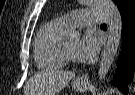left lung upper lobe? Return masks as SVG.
I'll use <instances>...</instances> for the list:
<instances>
[{
  "instance_id": "1",
  "label": "left lung upper lobe",
  "mask_w": 135,
  "mask_h": 95,
  "mask_svg": "<svg viewBox=\"0 0 135 95\" xmlns=\"http://www.w3.org/2000/svg\"><path fill=\"white\" fill-rule=\"evenodd\" d=\"M122 15L135 6V0H113Z\"/></svg>"
}]
</instances>
